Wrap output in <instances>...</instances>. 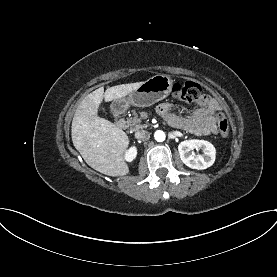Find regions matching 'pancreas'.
<instances>
[{
    "label": "pancreas",
    "mask_w": 277,
    "mask_h": 277,
    "mask_svg": "<svg viewBox=\"0 0 277 277\" xmlns=\"http://www.w3.org/2000/svg\"><path fill=\"white\" fill-rule=\"evenodd\" d=\"M141 122H142V117L141 116L139 117L135 111H133V117L128 119V121H127L128 125L133 130H139V129L147 127L146 124H141Z\"/></svg>",
    "instance_id": "obj_1"
}]
</instances>
